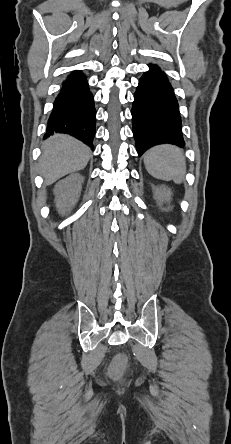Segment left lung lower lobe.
Segmentation results:
<instances>
[{
  "label": "left lung lower lobe",
  "instance_id": "obj_1",
  "mask_svg": "<svg viewBox=\"0 0 231 444\" xmlns=\"http://www.w3.org/2000/svg\"><path fill=\"white\" fill-rule=\"evenodd\" d=\"M139 80L132 107L133 134L141 156L157 144L184 146L179 105L166 75L157 65Z\"/></svg>",
  "mask_w": 231,
  "mask_h": 444
}]
</instances>
